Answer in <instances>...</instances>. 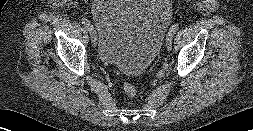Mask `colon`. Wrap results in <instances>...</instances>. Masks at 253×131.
Segmentation results:
<instances>
[{
    "label": "colon",
    "instance_id": "1",
    "mask_svg": "<svg viewBox=\"0 0 253 131\" xmlns=\"http://www.w3.org/2000/svg\"><path fill=\"white\" fill-rule=\"evenodd\" d=\"M123 90L128 97H135L137 94L135 87L130 82H124Z\"/></svg>",
    "mask_w": 253,
    "mask_h": 131
}]
</instances>
